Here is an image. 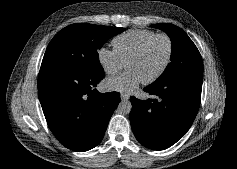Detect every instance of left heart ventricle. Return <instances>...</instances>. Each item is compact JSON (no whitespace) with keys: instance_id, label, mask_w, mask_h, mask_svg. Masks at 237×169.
<instances>
[{"instance_id":"b2bd125f","label":"left heart ventricle","mask_w":237,"mask_h":169,"mask_svg":"<svg viewBox=\"0 0 237 169\" xmlns=\"http://www.w3.org/2000/svg\"><path fill=\"white\" fill-rule=\"evenodd\" d=\"M168 52V43L162 38H156L149 43L143 54L128 63L127 69L133 70L141 79L146 80L159 71Z\"/></svg>"}]
</instances>
